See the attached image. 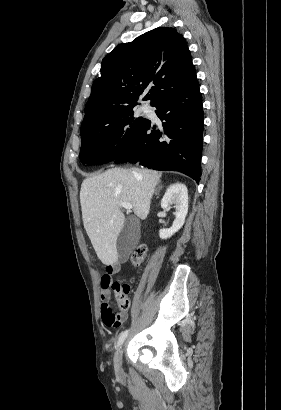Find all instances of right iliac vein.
Instances as JSON below:
<instances>
[{"label":"right iliac vein","mask_w":281,"mask_h":410,"mask_svg":"<svg viewBox=\"0 0 281 410\" xmlns=\"http://www.w3.org/2000/svg\"><path fill=\"white\" fill-rule=\"evenodd\" d=\"M122 355H123V347H121L114 356V369L117 375H122Z\"/></svg>","instance_id":"1"}]
</instances>
